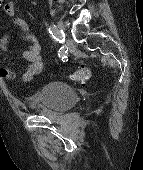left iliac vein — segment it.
I'll return each mask as SVG.
<instances>
[{
    "mask_svg": "<svg viewBox=\"0 0 143 170\" xmlns=\"http://www.w3.org/2000/svg\"><path fill=\"white\" fill-rule=\"evenodd\" d=\"M57 26H58V28L61 29V30L64 29V23L61 22V21L57 23ZM67 44H68V45L71 44V41H67Z\"/></svg>",
    "mask_w": 143,
    "mask_h": 170,
    "instance_id": "4c4485c4",
    "label": "left iliac vein"
}]
</instances>
